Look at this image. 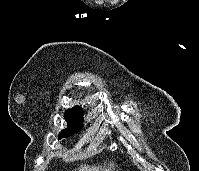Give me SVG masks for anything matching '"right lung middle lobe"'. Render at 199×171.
Wrapping results in <instances>:
<instances>
[{"mask_svg":"<svg viewBox=\"0 0 199 171\" xmlns=\"http://www.w3.org/2000/svg\"><path fill=\"white\" fill-rule=\"evenodd\" d=\"M64 119L68 123L66 129H63L61 133L58 135L59 139L69 137L73 133H76L83 127V110L81 107H74L72 109H68L64 114Z\"/></svg>","mask_w":199,"mask_h":171,"instance_id":"dd1d6c3e","label":"right lung middle lobe"}]
</instances>
